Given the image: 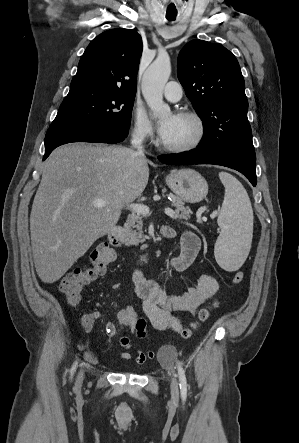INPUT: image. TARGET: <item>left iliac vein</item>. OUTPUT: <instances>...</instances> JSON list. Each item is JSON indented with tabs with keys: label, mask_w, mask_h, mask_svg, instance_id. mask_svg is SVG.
<instances>
[{
	"label": "left iliac vein",
	"mask_w": 299,
	"mask_h": 443,
	"mask_svg": "<svg viewBox=\"0 0 299 443\" xmlns=\"http://www.w3.org/2000/svg\"><path fill=\"white\" fill-rule=\"evenodd\" d=\"M171 391L172 395L177 398L178 397V383L175 377L171 379Z\"/></svg>",
	"instance_id": "obj_1"
}]
</instances>
